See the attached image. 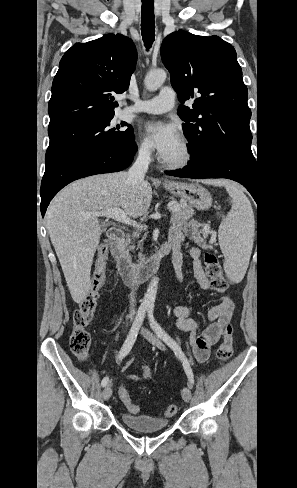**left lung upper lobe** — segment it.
Wrapping results in <instances>:
<instances>
[{"instance_id":"left-lung-upper-lobe-1","label":"left lung upper lobe","mask_w":297,"mask_h":488,"mask_svg":"<svg viewBox=\"0 0 297 488\" xmlns=\"http://www.w3.org/2000/svg\"><path fill=\"white\" fill-rule=\"evenodd\" d=\"M160 52L179 101L193 102L178 108L191 161L213 153L255 160L248 90L233 46L218 36L180 30L164 39Z\"/></svg>"}]
</instances>
